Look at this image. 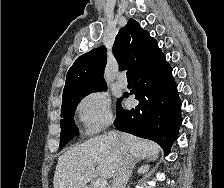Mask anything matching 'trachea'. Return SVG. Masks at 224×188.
I'll return each mask as SVG.
<instances>
[{"mask_svg":"<svg viewBox=\"0 0 224 188\" xmlns=\"http://www.w3.org/2000/svg\"><path fill=\"white\" fill-rule=\"evenodd\" d=\"M127 79L128 80H131L132 79L131 71L130 70L127 71Z\"/></svg>","mask_w":224,"mask_h":188,"instance_id":"obj_1","label":"trachea"}]
</instances>
